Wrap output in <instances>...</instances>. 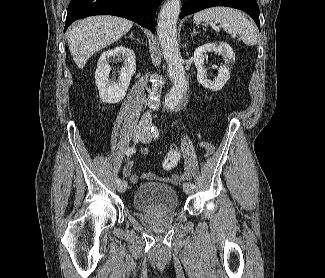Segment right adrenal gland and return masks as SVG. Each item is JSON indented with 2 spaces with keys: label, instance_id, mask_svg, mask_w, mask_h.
<instances>
[{
  "label": "right adrenal gland",
  "instance_id": "2a0ac1e0",
  "mask_svg": "<svg viewBox=\"0 0 325 278\" xmlns=\"http://www.w3.org/2000/svg\"><path fill=\"white\" fill-rule=\"evenodd\" d=\"M129 37H130L131 39H134V37H133V33H131V34L129 35Z\"/></svg>",
  "mask_w": 325,
  "mask_h": 278
}]
</instances>
